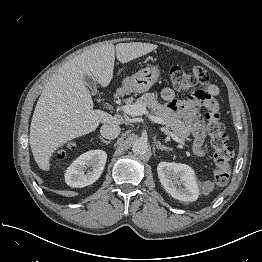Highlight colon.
Listing matches in <instances>:
<instances>
[{
	"instance_id": "obj_1",
	"label": "colon",
	"mask_w": 262,
	"mask_h": 262,
	"mask_svg": "<svg viewBox=\"0 0 262 262\" xmlns=\"http://www.w3.org/2000/svg\"><path fill=\"white\" fill-rule=\"evenodd\" d=\"M207 78V72L199 68L197 72L189 71L180 66H173L170 69L171 83L177 91H187L195 86L199 81ZM207 121V132L214 150V159L216 166L214 177L218 184H224L228 181L231 167L230 161L234 152L228 145L227 135L223 124L220 122V112L218 109H208L205 114ZM66 150L57 152V157L62 159L66 156Z\"/></svg>"
}]
</instances>
